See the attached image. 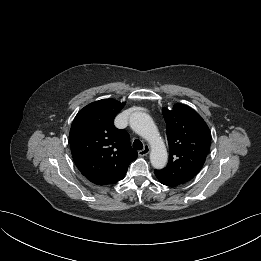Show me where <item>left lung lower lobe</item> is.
<instances>
[{
  "label": "left lung lower lobe",
  "mask_w": 261,
  "mask_h": 261,
  "mask_svg": "<svg viewBox=\"0 0 261 261\" xmlns=\"http://www.w3.org/2000/svg\"><path fill=\"white\" fill-rule=\"evenodd\" d=\"M157 179L159 180L160 183H162L163 185H166V186H177V185H180V183L174 181V180H171L169 178H166V177H163L157 173H155Z\"/></svg>",
  "instance_id": "1"
}]
</instances>
